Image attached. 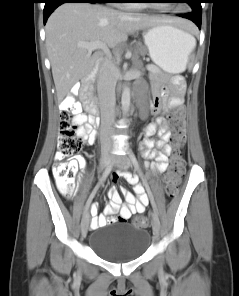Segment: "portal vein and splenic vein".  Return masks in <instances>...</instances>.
Masks as SVG:
<instances>
[{
	"mask_svg": "<svg viewBox=\"0 0 239 296\" xmlns=\"http://www.w3.org/2000/svg\"><path fill=\"white\" fill-rule=\"evenodd\" d=\"M78 45L88 50L102 49L104 52L109 53V49L106 44L100 41L80 42ZM147 69L150 71L152 70L151 66H148Z\"/></svg>",
	"mask_w": 239,
	"mask_h": 296,
	"instance_id": "portal-vein-and-splenic-vein-1",
	"label": "portal vein and splenic vein"
}]
</instances>
